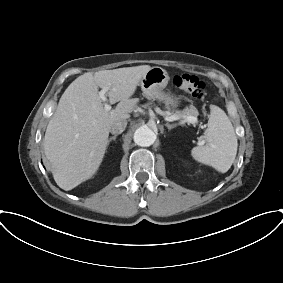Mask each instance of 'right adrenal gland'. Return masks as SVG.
Instances as JSON below:
<instances>
[{"mask_svg":"<svg viewBox=\"0 0 283 283\" xmlns=\"http://www.w3.org/2000/svg\"><path fill=\"white\" fill-rule=\"evenodd\" d=\"M117 135H114L112 137L109 138L108 142H107V146H109L111 141H115L116 140Z\"/></svg>","mask_w":283,"mask_h":283,"instance_id":"2a0ac1e0","label":"right adrenal gland"}]
</instances>
